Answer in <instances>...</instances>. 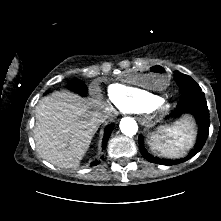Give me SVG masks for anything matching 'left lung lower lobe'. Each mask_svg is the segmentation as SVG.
<instances>
[{
  "label": "left lung lower lobe",
  "instance_id": "1",
  "mask_svg": "<svg viewBox=\"0 0 221 221\" xmlns=\"http://www.w3.org/2000/svg\"><path fill=\"white\" fill-rule=\"evenodd\" d=\"M182 115H190L196 121L198 127V136L194 148L189 152V154L185 158L179 160L160 159L150 155L146 151L143 145V136L140 135L138 137L139 149L142 156L147 161L162 165H175L183 163L188 159L192 158L203 148L208 137L209 126H210L209 110L203 92L188 94L182 97V99L179 101L177 105L175 112L171 113L170 116L180 117Z\"/></svg>",
  "mask_w": 221,
  "mask_h": 221
}]
</instances>
